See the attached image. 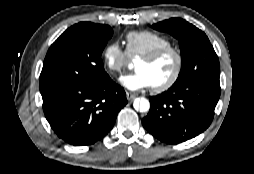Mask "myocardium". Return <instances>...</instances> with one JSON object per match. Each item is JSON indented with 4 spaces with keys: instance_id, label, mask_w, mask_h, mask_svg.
<instances>
[{
    "instance_id": "obj_1",
    "label": "myocardium",
    "mask_w": 254,
    "mask_h": 174,
    "mask_svg": "<svg viewBox=\"0 0 254 174\" xmlns=\"http://www.w3.org/2000/svg\"><path fill=\"white\" fill-rule=\"evenodd\" d=\"M166 53H173L174 54V56L176 58V65H175L173 74L166 82H164L160 85H157V86H153L154 92H157V93H161V92L169 90L178 81V79L181 75V72H182V68H183L182 52L178 47H176L174 45H166V46L157 48V49L153 50L152 52L141 57L142 61L151 63V62H155L156 60H158L160 57H162Z\"/></svg>"
}]
</instances>
